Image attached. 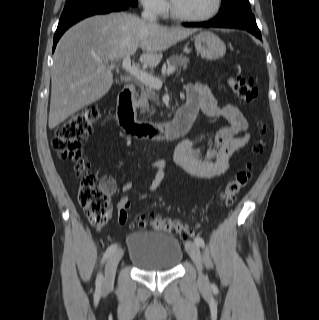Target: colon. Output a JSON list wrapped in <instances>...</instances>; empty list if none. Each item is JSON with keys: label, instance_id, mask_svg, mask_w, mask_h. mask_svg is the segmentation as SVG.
<instances>
[{"label": "colon", "instance_id": "5ec220e1", "mask_svg": "<svg viewBox=\"0 0 319 320\" xmlns=\"http://www.w3.org/2000/svg\"><path fill=\"white\" fill-rule=\"evenodd\" d=\"M230 86L233 92L244 102L251 103L259 96V91L253 81L244 78H232ZM99 118V109L96 106H87L79 113L70 117L55 132L52 146L63 159L74 162L76 172L81 176L78 191L79 203L91 224L106 225L111 217L110 194L115 190V183L110 177L98 178L91 172L90 164L82 155L81 144L88 138ZM260 143L252 146V153L262 152ZM251 177L249 167L239 169L225 184L220 192V201L223 206H230L236 194L243 189ZM128 214L122 210L118 213L119 223H126ZM137 228L151 227L158 231L169 232L182 238L194 235L195 230L189 224L177 219L162 215L140 216L135 224Z\"/></svg>", "mask_w": 319, "mask_h": 320}]
</instances>
